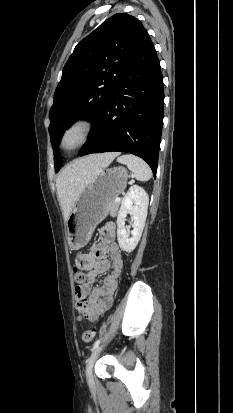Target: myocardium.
I'll list each match as a JSON object with an SVG mask.
<instances>
[{"instance_id":"obj_1","label":"myocardium","mask_w":233,"mask_h":413,"mask_svg":"<svg viewBox=\"0 0 233 413\" xmlns=\"http://www.w3.org/2000/svg\"><path fill=\"white\" fill-rule=\"evenodd\" d=\"M94 130V122L91 118L82 116L74 119L69 124L65 126L62 130L60 137H59V147L63 152L71 153L78 148H80L83 144L87 142V140L92 135ZM70 135H75V140L71 144H67V138Z\"/></svg>"}]
</instances>
